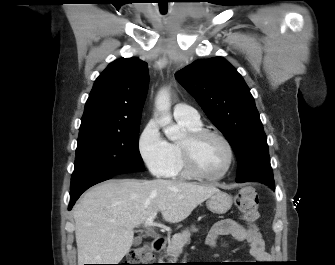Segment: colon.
<instances>
[{
  "mask_svg": "<svg viewBox=\"0 0 335 265\" xmlns=\"http://www.w3.org/2000/svg\"><path fill=\"white\" fill-rule=\"evenodd\" d=\"M235 204L243 219L253 225L258 217V198L251 187H243L235 196ZM153 258L151 247L148 245L139 246L131 251L126 264L123 265H151Z\"/></svg>",
  "mask_w": 335,
  "mask_h": 265,
  "instance_id": "1",
  "label": "colon"
}]
</instances>
